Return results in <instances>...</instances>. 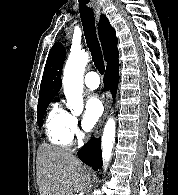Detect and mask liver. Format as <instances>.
<instances>
[{"label":"liver","instance_id":"liver-1","mask_svg":"<svg viewBox=\"0 0 178 195\" xmlns=\"http://www.w3.org/2000/svg\"><path fill=\"white\" fill-rule=\"evenodd\" d=\"M37 159L40 195H75L91 182L88 168L69 152L42 144Z\"/></svg>","mask_w":178,"mask_h":195}]
</instances>
